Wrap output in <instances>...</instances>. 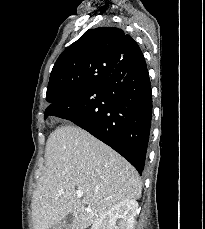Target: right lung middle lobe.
Listing matches in <instances>:
<instances>
[{
  "label": "right lung middle lobe",
  "mask_w": 205,
  "mask_h": 229,
  "mask_svg": "<svg viewBox=\"0 0 205 229\" xmlns=\"http://www.w3.org/2000/svg\"><path fill=\"white\" fill-rule=\"evenodd\" d=\"M108 78V75H102V76H97L94 78V84L95 83H98V82H101V81H104Z\"/></svg>",
  "instance_id": "dd1d6c3e"
}]
</instances>
